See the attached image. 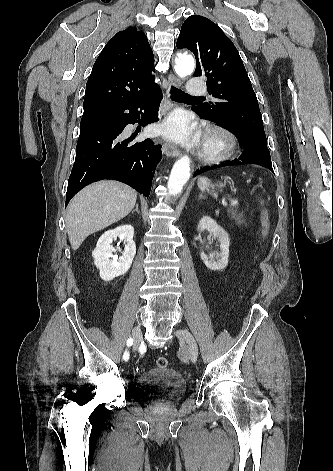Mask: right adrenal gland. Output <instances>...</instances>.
<instances>
[{"instance_id":"obj_1","label":"right adrenal gland","mask_w":333,"mask_h":471,"mask_svg":"<svg viewBox=\"0 0 333 471\" xmlns=\"http://www.w3.org/2000/svg\"><path fill=\"white\" fill-rule=\"evenodd\" d=\"M134 212H137L138 214L140 213L139 210H138V204H136L135 210L132 211V213H134Z\"/></svg>"}]
</instances>
